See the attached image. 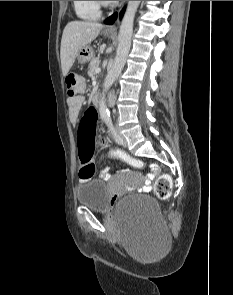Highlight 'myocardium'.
Listing matches in <instances>:
<instances>
[{"label":"myocardium","instance_id":"obj_1","mask_svg":"<svg viewBox=\"0 0 233 295\" xmlns=\"http://www.w3.org/2000/svg\"><path fill=\"white\" fill-rule=\"evenodd\" d=\"M96 3L98 4V6L100 8L107 9V8L111 7V2L110 1H96Z\"/></svg>","mask_w":233,"mask_h":295}]
</instances>
